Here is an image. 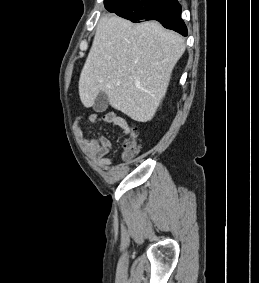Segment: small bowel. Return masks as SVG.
<instances>
[{"label":"small bowel","instance_id":"small-bowel-1","mask_svg":"<svg viewBox=\"0 0 259 283\" xmlns=\"http://www.w3.org/2000/svg\"><path fill=\"white\" fill-rule=\"evenodd\" d=\"M89 121L92 124H100V123H112L118 127H120L125 134H129L131 132V127L128 122L117 116L115 113L109 112L104 114L103 116H99L97 113H93L89 116ZM80 124V120H76V125ZM88 152L92 157L99 158L105 166H109L111 164V158L109 157V153L111 150V143L107 138L104 137H89L87 143ZM124 172V167H118L115 171L117 175H120Z\"/></svg>","mask_w":259,"mask_h":283}]
</instances>
